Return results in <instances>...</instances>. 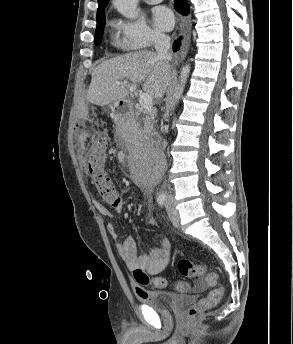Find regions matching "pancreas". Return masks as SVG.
<instances>
[{"label":"pancreas","mask_w":293,"mask_h":344,"mask_svg":"<svg viewBox=\"0 0 293 344\" xmlns=\"http://www.w3.org/2000/svg\"><path fill=\"white\" fill-rule=\"evenodd\" d=\"M140 114L136 113V117L134 120L131 121L128 130L132 132L133 134H142V133H148L150 131V128L153 126V115L147 114L143 118V126L141 125V121L138 120V116Z\"/></svg>","instance_id":"obj_1"}]
</instances>
